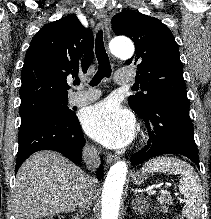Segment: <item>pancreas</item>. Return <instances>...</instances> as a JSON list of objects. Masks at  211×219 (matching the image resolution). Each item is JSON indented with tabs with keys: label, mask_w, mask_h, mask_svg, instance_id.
<instances>
[{
	"label": "pancreas",
	"mask_w": 211,
	"mask_h": 219,
	"mask_svg": "<svg viewBox=\"0 0 211 219\" xmlns=\"http://www.w3.org/2000/svg\"><path fill=\"white\" fill-rule=\"evenodd\" d=\"M157 200L161 206V209L163 211H167L168 210V206L167 205H171L172 204V200L171 197L166 196L165 194H161L157 197Z\"/></svg>",
	"instance_id": "pancreas-1"
}]
</instances>
